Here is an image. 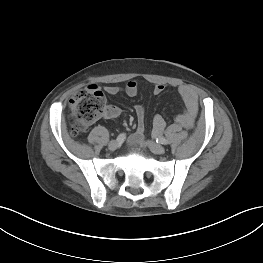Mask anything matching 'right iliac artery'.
I'll list each match as a JSON object with an SVG mask.
<instances>
[{
  "mask_svg": "<svg viewBox=\"0 0 263 263\" xmlns=\"http://www.w3.org/2000/svg\"><path fill=\"white\" fill-rule=\"evenodd\" d=\"M125 138H126V134H125V133H121V134L118 135V137H117L116 140H117L119 143H122V142L125 140Z\"/></svg>",
  "mask_w": 263,
  "mask_h": 263,
  "instance_id": "right-iliac-artery-1",
  "label": "right iliac artery"
}]
</instances>
